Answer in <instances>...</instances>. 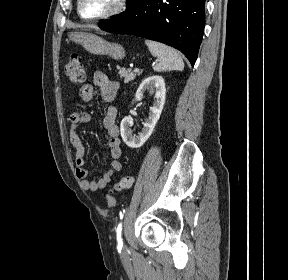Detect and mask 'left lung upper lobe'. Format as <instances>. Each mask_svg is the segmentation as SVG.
<instances>
[{
  "instance_id": "5c2ea615",
  "label": "left lung upper lobe",
  "mask_w": 288,
  "mask_h": 280,
  "mask_svg": "<svg viewBox=\"0 0 288 280\" xmlns=\"http://www.w3.org/2000/svg\"><path fill=\"white\" fill-rule=\"evenodd\" d=\"M136 0H128L126 2V7H129L130 5H132Z\"/></svg>"
}]
</instances>
